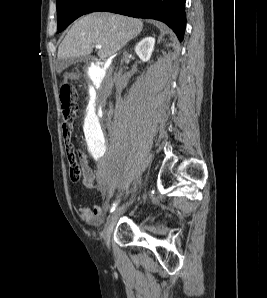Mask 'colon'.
<instances>
[{
	"mask_svg": "<svg viewBox=\"0 0 267 298\" xmlns=\"http://www.w3.org/2000/svg\"><path fill=\"white\" fill-rule=\"evenodd\" d=\"M60 99L64 116L63 137L69 167V177L73 182H78L82 177V168L77 160L73 145L70 141V126L77 109L76 93L74 88L67 84L62 86Z\"/></svg>",
	"mask_w": 267,
	"mask_h": 298,
	"instance_id": "colon-1",
	"label": "colon"
}]
</instances>
